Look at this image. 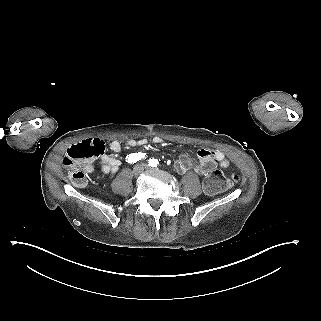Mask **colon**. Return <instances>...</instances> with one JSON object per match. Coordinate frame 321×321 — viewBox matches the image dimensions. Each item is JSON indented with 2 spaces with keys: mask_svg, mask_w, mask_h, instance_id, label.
<instances>
[{
  "mask_svg": "<svg viewBox=\"0 0 321 321\" xmlns=\"http://www.w3.org/2000/svg\"><path fill=\"white\" fill-rule=\"evenodd\" d=\"M103 152V146L98 142L92 141L77 143L67 150V154L62 160V164L70 168L69 178L74 186L84 187L87 183L85 173L81 170L74 169V161L97 157ZM237 181L238 177L235 174L226 177L220 170H214L204 179L203 188L208 194H217L233 186Z\"/></svg>",
  "mask_w": 321,
  "mask_h": 321,
  "instance_id": "5ec220e1",
  "label": "colon"
}]
</instances>
